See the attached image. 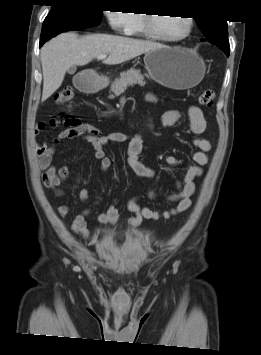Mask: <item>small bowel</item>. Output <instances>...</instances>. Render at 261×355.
Listing matches in <instances>:
<instances>
[{
    "label": "small bowel",
    "instance_id": "1",
    "mask_svg": "<svg viewBox=\"0 0 261 355\" xmlns=\"http://www.w3.org/2000/svg\"><path fill=\"white\" fill-rule=\"evenodd\" d=\"M148 99L154 101L155 97L149 95ZM182 118V114L177 110H170L162 116V125L164 127H172L177 124ZM189 128L193 135L192 146L193 149L189 152L188 156L191 164L182 166L183 179L176 183L175 191L169 194L166 198L168 202L175 205L164 211L153 210L149 207L142 206L138 203L136 198L129 200L127 208L133 213L127 221V226L138 227L144 220H159L168 219L174 215L186 211L191 206V198L195 192V180L202 174L201 166L208 162V150L210 143L207 139L201 137L207 128V122L202 110L197 106H190L188 108ZM50 121V125L55 127L58 121ZM63 124L67 127L55 136L51 142H44L37 144L36 152L38 155L39 166L43 171L42 181L46 188L53 191L55 196L64 197L65 193L60 187L61 184L67 179L70 168L68 166L57 167L52 165V159L55 154L56 147L59 146L65 139L82 138L89 142L93 147V156L101 162V169L103 172L107 171L111 166V159L105 153V146L110 144L127 143V163L131 170L138 176L144 178H153L156 171L143 164L139 156L143 150V140L141 134L128 136L123 133H110L102 135L100 131L94 126L84 123L79 119H66ZM45 127L44 123H39L35 134ZM165 161L170 165H178L179 160L173 155L165 156ZM153 198L155 194L149 193ZM89 198V190L83 188L79 192V199L82 202L87 201ZM57 214L61 218H65L70 212L69 204L60 205ZM90 209H84L75 216L70 226L74 233H79L86 238H91L87 217L90 215ZM119 218L116 203H112L107 210L98 213L97 219L100 223L114 225Z\"/></svg>",
    "mask_w": 261,
    "mask_h": 355
}]
</instances>
